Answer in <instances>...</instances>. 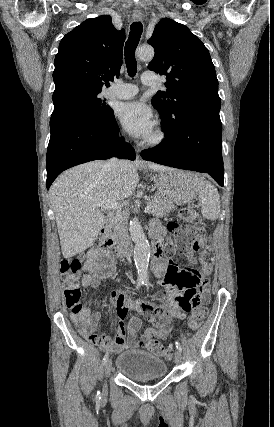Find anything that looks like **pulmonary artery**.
<instances>
[{
	"instance_id": "obj_1",
	"label": "pulmonary artery",
	"mask_w": 274,
	"mask_h": 427,
	"mask_svg": "<svg viewBox=\"0 0 274 427\" xmlns=\"http://www.w3.org/2000/svg\"><path fill=\"white\" fill-rule=\"evenodd\" d=\"M141 81L145 85L154 84V79L151 76H148L147 78L142 76ZM138 91V86L135 84L118 82L107 90L106 97L108 99H128L134 97Z\"/></svg>"
}]
</instances>
